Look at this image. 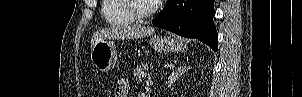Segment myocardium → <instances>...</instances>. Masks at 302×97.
<instances>
[{
  "mask_svg": "<svg viewBox=\"0 0 302 97\" xmlns=\"http://www.w3.org/2000/svg\"><path fill=\"white\" fill-rule=\"evenodd\" d=\"M133 2H134V0H123V5H124L125 10L136 21H143V20L147 19L148 17L153 15L158 8L157 4H151L146 11L140 12L135 8Z\"/></svg>",
  "mask_w": 302,
  "mask_h": 97,
  "instance_id": "obj_1",
  "label": "myocardium"
}]
</instances>
